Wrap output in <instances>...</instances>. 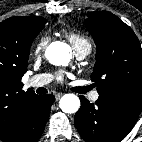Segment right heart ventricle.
Returning <instances> with one entry per match:
<instances>
[{"label": "right heart ventricle", "mask_w": 142, "mask_h": 142, "mask_svg": "<svg viewBox=\"0 0 142 142\" xmlns=\"http://www.w3.org/2000/svg\"><path fill=\"white\" fill-rule=\"evenodd\" d=\"M66 35L75 51L82 49L91 51L92 42L86 35L78 32H68Z\"/></svg>", "instance_id": "e07e8e85"}]
</instances>
